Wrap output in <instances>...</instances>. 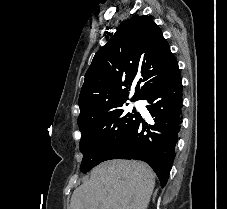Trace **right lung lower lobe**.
<instances>
[{
	"label": "right lung lower lobe",
	"instance_id": "obj_1",
	"mask_svg": "<svg viewBox=\"0 0 227 209\" xmlns=\"http://www.w3.org/2000/svg\"><path fill=\"white\" fill-rule=\"evenodd\" d=\"M153 73H166L165 79L143 99L150 103L147 109L154 117V125H149L140 116L101 162L110 159L145 161L157 174L161 187H164L175 158V145L182 122V82L178 63L169 67L157 66Z\"/></svg>",
	"mask_w": 227,
	"mask_h": 209
}]
</instances>
